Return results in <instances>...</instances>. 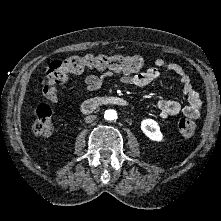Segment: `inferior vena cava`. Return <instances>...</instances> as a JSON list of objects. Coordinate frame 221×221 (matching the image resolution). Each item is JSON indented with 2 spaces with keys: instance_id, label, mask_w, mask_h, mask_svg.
Returning a JSON list of instances; mask_svg holds the SVG:
<instances>
[{
  "instance_id": "inferior-vena-cava-1",
  "label": "inferior vena cava",
  "mask_w": 221,
  "mask_h": 221,
  "mask_svg": "<svg viewBox=\"0 0 221 221\" xmlns=\"http://www.w3.org/2000/svg\"><path fill=\"white\" fill-rule=\"evenodd\" d=\"M96 119V116L95 115H89L85 118V122L86 123H91L93 122L94 120Z\"/></svg>"
}]
</instances>
